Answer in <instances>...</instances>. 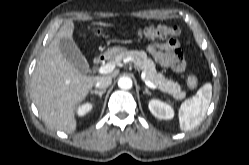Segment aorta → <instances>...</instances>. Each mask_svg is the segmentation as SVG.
Segmentation results:
<instances>
[{
	"label": "aorta",
	"instance_id": "762f6f07",
	"mask_svg": "<svg viewBox=\"0 0 249 165\" xmlns=\"http://www.w3.org/2000/svg\"><path fill=\"white\" fill-rule=\"evenodd\" d=\"M133 85L132 79L128 76H122L118 80V87L121 89H131Z\"/></svg>",
	"mask_w": 249,
	"mask_h": 165
}]
</instances>
